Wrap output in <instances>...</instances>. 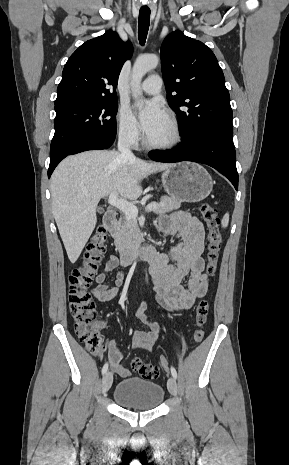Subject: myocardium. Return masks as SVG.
Listing matches in <instances>:
<instances>
[{
  "instance_id": "1",
  "label": "myocardium",
  "mask_w": 289,
  "mask_h": 465,
  "mask_svg": "<svg viewBox=\"0 0 289 465\" xmlns=\"http://www.w3.org/2000/svg\"><path fill=\"white\" fill-rule=\"evenodd\" d=\"M165 117L169 123L171 135L164 142H152L147 137L144 138V145L154 150H169L176 147L182 140L180 125L176 117L171 112H165Z\"/></svg>"
}]
</instances>
